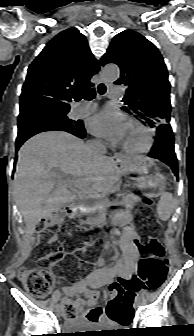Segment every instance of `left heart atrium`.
<instances>
[{
    "mask_svg": "<svg viewBox=\"0 0 194 336\" xmlns=\"http://www.w3.org/2000/svg\"><path fill=\"white\" fill-rule=\"evenodd\" d=\"M126 126L125 116L111 108L101 110L89 121V130L94 135L112 143H120L122 141Z\"/></svg>",
    "mask_w": 194,
    "mask_h": 336,
    "instance_id": "39dd6f15",
    "label": "left heart atrium"
}]
</instances>
